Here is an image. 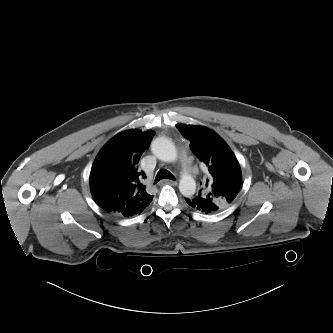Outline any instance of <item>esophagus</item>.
I'll use <instances>...</instances> for the list:
<instances>
[{
  "label": "esophagus",
  "mask_w": 333,
  "mask_h": 333,
  "mask_svg": "<svg viewBox=\"0 0 333 333\" xmlns=\"http://www.w3.org/2000/svg\"><path fill=\"white\" fill-rule=\"evenodd\" d=\"M161 184H168V185L176 186L177 185V181L170 180V179H165V180L161 181Z\"/></svg>",
  "instance_id": "1"
}]
</instances>
